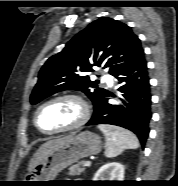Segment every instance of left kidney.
<instances>
[{
    "label": "left kidney",
    "mask_w": 178,
    "mask_h": 186,
    "mask_svg": "<svg viewBox=\"0 0 178 186\" xmlns=\"http://www.w3.org/2000/svg\"><path fill=\"white\" fill-rule=\"evenodd\" d=\"M124 170L120 163H106L95 173L93 181H124Z\"/></svg>",
    "instance_id": "obj_1"
}]
</instances>
